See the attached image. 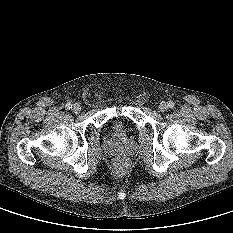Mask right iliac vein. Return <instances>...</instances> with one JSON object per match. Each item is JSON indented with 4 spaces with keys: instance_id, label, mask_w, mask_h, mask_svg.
Segmentation results:
<instances>
[{
    "instance_id": "obj_1",
    "label": "right iliac vein",
    "mask_w": 233,
    "mask_h": 233,
    "mask_svg": "<svg viewBox=\"0 0 233 233\" xmlns=\"http://www.w3.org/2000/svg\"><path fill=\"white\" fill-rule=\"evenodd\" d=\"M72 111L74 113H79L81 111V106L79 104H77V103L73 104Z\"/></svg>"
}]
</instances>
